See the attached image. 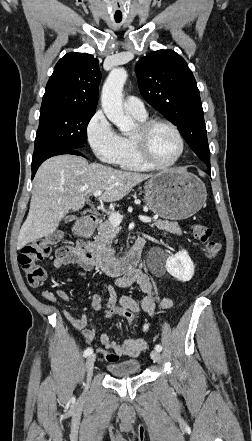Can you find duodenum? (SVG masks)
Returning a JSON list of instances; mask_svg holds the SVG:
<instances>
[{
  "label": "duodenum",
  "mask_w": 252,
  "mask_h": 441,
  "mask_svg": "<svg viewBox=\"0 0 252 441\" xmlns=\"http://www.w3.org/2000/svg\"><path fill=\"white\" fill-rule=\"evenodd\" d=\"M97 223V217L89 215L85 218V222L83 224L76 226L75 232L78 236H80V239L76 243L78 256L84 263L98 267L100 270H102V272L109 276H118L133 272L140 259V253L143 245L142 240L122 258H111L106 255H102L92 243L84 239L90 234Z\"/></svg>",
  "instance_id": "duodenum-1"
}]
</instances>
